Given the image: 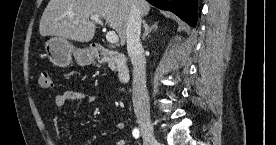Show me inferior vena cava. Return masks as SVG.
<instances>
[{
  "label": "inferior vena cava",
  "mask_w": 276,
  "mask_h": 145,
  "mask_svg": "<svg viewBox=\"0 0 276 145\" xmlns=\"http://www.w3.org/2000/svg\"><path fill=\"white\" fill-rule=\"evenodd\" d=\"M130 14L127 22V52L133 65V107L136 116H149V96L146 87V58L140 41L141 14L136 0H129Z\"/></svg>",
  "instance_id": "obj_1"
}]
</instances>
